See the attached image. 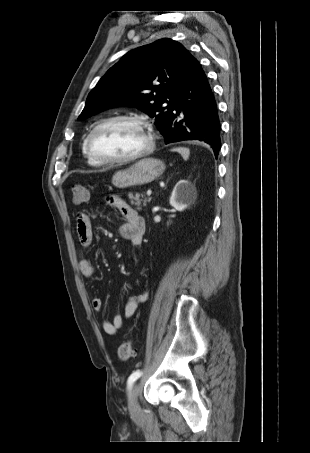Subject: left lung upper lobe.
Returning <instances> with one entry per match:
<instances>
[{"label": "left lung upper lobe", "instance_id": "obj_1", "mask_svg": "<svg viewBox=\"0 0 310 453\" xmlns=\"http://www.w3.org/2000/svg\"><path fill=\"white\" fill-rule=\"evenodd\" d=\"M191 58L184 46L171 39L129 51L91 90L78 120L113 106L132 104L155 117L161 131L172 113Z\"/></svg>", "mask_w": 310, "mask_h": 453}]
</instances>
